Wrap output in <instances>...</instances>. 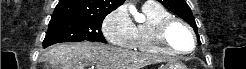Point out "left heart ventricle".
<instances>
[{
    "label": "left heart ventricle",
    "mask_w": 246,
    "mask_h": 69,
    "mask_svg": "<svg viewBox=\"0 0 246 69\" xmlns=\"http://www.w3.org/2000/svg\"><path fill=\"white\" fill-rule=\"evenodd\" d=\"M168 42L177 49L186 48V44L191 42L189 33L181 25H174L167 34Z\"/></svg>",
    "instance_id": "b2bd125f"
}]
</instances>
